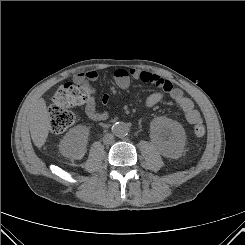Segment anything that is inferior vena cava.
<instances>
[{
  "instance_id": "1",
  "label": "inferior vena cava",
  "mask_w": 245,
  "mask_h": 245,
  "mask_svg": "<svg viewBox=\"0 0 245 245\" xmlns=\"http://www.w3.org/2000/svg\"><path fill=\"white\" fill-rule=\"evenodd\" d=\"M114 140V135L112 133H107L104 135L103 142L109 144Z\"/></svg>"
}]
</instances>
